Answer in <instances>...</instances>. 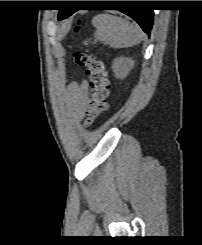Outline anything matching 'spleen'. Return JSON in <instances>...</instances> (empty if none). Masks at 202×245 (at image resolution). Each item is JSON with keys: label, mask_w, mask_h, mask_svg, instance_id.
<instances>
[{"label": "spleen", "mask_w": 202, "mask_h": 245, "mask_svg": "<svg viewBox=\"0 0 202 245\" xmlns=\"http://www.w3.org/2000/svg\"><path fill=\"white\" fill-rule=\"evenodd\" d=\"M93 24L96 27L95 38L112 48H128L143 40V33L136 24L117 16L99 14L94 17Z\"/></svg>", "instance_id": "1"}]
</instances>
